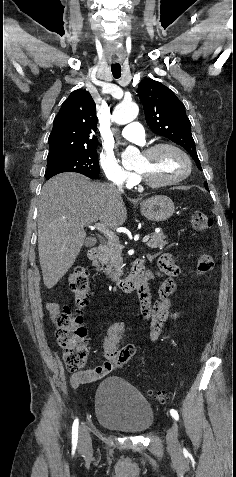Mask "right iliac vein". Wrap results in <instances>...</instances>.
<instances>
[{
  "mask_svg": "<svg viewBox=\"0 0 236 477\" xmlns=\"http://www.w3.org/2000/svg\"><path fill=\"white\" fill-rule=\"evenodd\" d=\"M91 446V438L90 434L85 427H80L79 430V450L82 452H86L90 449Z\"/></svg>",
  "mask_w": 236,
  "mask_h": 477,
  "instance_id": "63e3f726",
  "label": "right iliac vein"
}]
</instances>
